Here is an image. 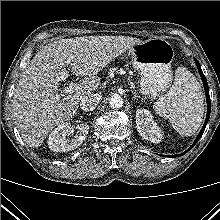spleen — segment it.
<instances>
[{"mask_svg": "<svg viewBox=\"0 0 220 220\" xmlns=\"http://www.w3.org/2000/svg\"><path fill=\"white\" fill-rule=\"evenodd\" d=\"M153 108L157 114L169 119L179 134L191 136L199 129L205 110L201 85L190 71L178 67L172 87Z\"/></svg>", "mask_w": 220, "mask_h": 220, "instance_id": "spleen-1", "label": "spleen"}]
</instances>
